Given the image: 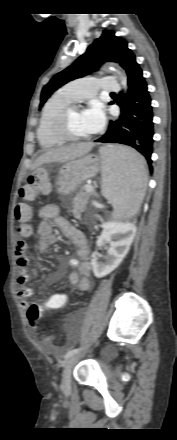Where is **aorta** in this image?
<instances>
[{"label": "aorta", "instance_id": "1", "mask_svg": "<svg viewBox=\"0 0 177 440\" xmlns=\"http://www.w3.org/2000/svg\"><path fill=\"white\" fill-rule=\"evenodd\" d=\"M122 85H123L124 88L127 87V79H126L125 76L122 77Z\"/></svg>", "mask_w": 177, "mask_h": 440}]
</instances>
